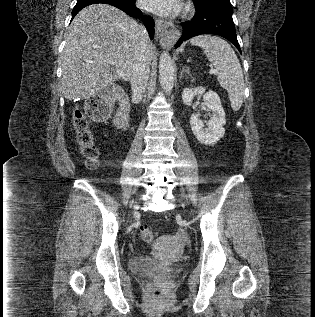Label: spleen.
<instances>
[{"mask_svg":"<svg viewBox=\"0 0 315 317\" xmlns=\"http://www.w3.org/2000/svg\"><path fill=\"white\" fill-rule=\"evenodd\" d=\"M190 43L203 49L217 71L218 82L228 92L232 109L238 111L244 98V76L232 47L224 39L211 35L196 36Z\"/></svg>","mask_w":315,"mask_h":317,"instance_id":"3e777b00","label":"spleen"}]
</instances>
